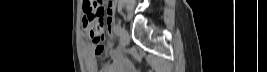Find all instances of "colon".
Wrapping results in <instances>:
<instances>
[{"label": "colon", "instance_id": "1", "mask_svg": "<svg viewBox=\"0 0 267 72\" xmlns=\"http://www.w3.org/2000/svg\"><path fill=\"white\" fill-rule=\"evenodd\" d=\"M104 8L100 1L85 0L83 5V26L85 36L92 42L95 52L104 50L105 34L103 30Z\"/></svg>", "mask_w": 267, "mask_h": 72}]
</instances>
